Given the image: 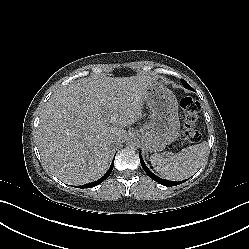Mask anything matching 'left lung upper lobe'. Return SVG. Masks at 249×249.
I'll return each instance as SVG.
<instances>
[{"label":"left lung upper lobe","mask_w":249,"mask_h":249,"mask_svg":"<svg viewBox=\"0 0 249 249\" xmlns=\"http://www.w3.org/2000/svg\"><path fill=\"white\" fill-rule=\"evenodd\" d=\"M182 84L187 88L191 89V87L188 85V83L185 80H182Z\"/></svg>","instance_id":"obj_1"}]
</instances>
